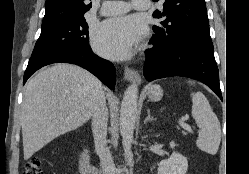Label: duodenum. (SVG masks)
Masks as SVG:
<instances>
[{"label":"duodenum","mask_w":249,"mask_h":174,"mask_svg":"<svg viewBox=\"0 0 249 174\" xmlns=\"http://www.w3.org/2000/svg\"><path fill=\"white\" fill-rule=\"evenodd\" d=\"M79 170L81 174H100L99 167L93 165L91 162L90 151L87 147L82 150L79 160Z\"/></svg>","instance_id":"obj_1"}]
</instances>
